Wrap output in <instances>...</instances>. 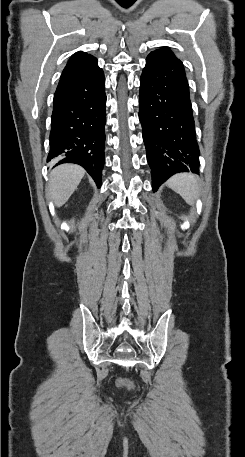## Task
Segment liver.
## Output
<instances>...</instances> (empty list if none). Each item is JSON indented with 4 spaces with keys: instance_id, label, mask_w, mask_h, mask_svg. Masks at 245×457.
I'll use <instances>...</instances> for the list:
<instances>
[{
    "instance_id": "1",
    "label": "liver",
    "mask_w": 245,
    "mask_h": 457,
    "mask_svg": "<svg viewBox=\"0 0 245 457\" xmlns=\"http://www.w3.org/2000/svg\"><path fill=\"white\" fill-rule=\"evenodd\" d=\"M85 174L79 164H59L53 168L49 178V196L56 206H62L77 188Z\"/></svg>"
}]
</instances>
